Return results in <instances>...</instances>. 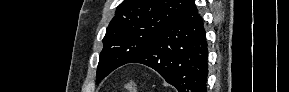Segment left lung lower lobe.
<instances>
[{
	"label": "left lung lower lobe",
	"instance_id": "1",
	"mask_svg": "<svg viewBox=\"0 0 289 92\" xmlns=\"http://www.w3.org/2000/svg\"><path fill=\"white\" fill-rule=\"evenodd\" d=\"M207 57L203 20L191 0L184 12L129 63L153 68L179 92H206Z\"/></svg>",
	"mask_w": 289,
	"mask_h": 92
}]
</instances>
